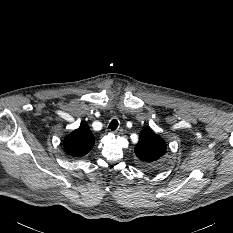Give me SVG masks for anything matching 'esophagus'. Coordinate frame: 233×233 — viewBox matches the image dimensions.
Wrapping results in <instances>:
<instances>
[{
    "label": "esophagus",
    "mask_w": 233,
    "mask_h": 233,
    "mask_svg": "<svg viewBox=\"0 0 233 233\" xmlns=\"http://www.w3.org/2000/svg\"><path fill=\"white\" fill-rule=\"evenodd\" d=\"M122 132H123V129H122V128H118V129H116V130L114 131V134H115V135H120V134H122Z\"/></svg>",
    "instance_id": "obj_1"
}]
</instances>
